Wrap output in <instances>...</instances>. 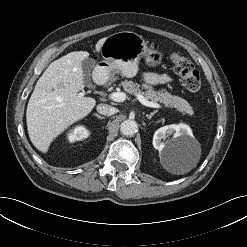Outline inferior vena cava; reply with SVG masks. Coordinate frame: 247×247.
Returning <instances> with one entry per match:
<instances>
[{
	"mask_svg": "<svg viewBox=\"0 0 247 247\" xmlns=\"http://www.w3.org/2000/svg\"><path fill=\"white\" fill-rule=\"evenodd\" d=\"M97 112L102 115L111 116L117 112V108L108 104H99L97 106Z\"/></svg>",
	"mask_w": 247,
	"mask_h": 247,
	"instance_id": "obj_1",
	"label": "inferior vena cava"
}]
</instances>
